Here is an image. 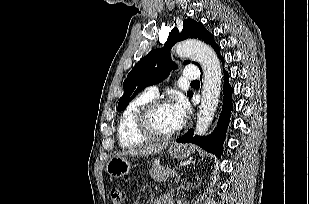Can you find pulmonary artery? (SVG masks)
Returning a JSON list of instances; mask_svg holds the SVG:
<instances>
[{
    "mask_svg": "<svg viewBox=\"0 0 309 204\" xmlns=\"http://www.w3.org/2000/svg\"><path fill=\"white\" fill-rule=\"evenodd\" d=\"M199 76L200 72L196 68H185L183 70V78L185 80H197ZM146 92L155 97L158 94V88L150 86L146 89Z\"/></svg>",
    "mask_w": 309,
    "mask_h": 204,
    "instance_id": "e3ab8cb5",
    "label": "pulmonary artery"
}]
</instances>
